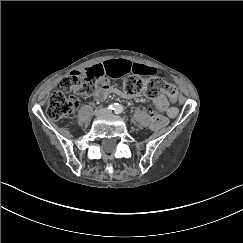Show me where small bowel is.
<instances>
[{
	"label": "small bowel",
	"mask_w": 243,
	"mask_h": 243,
	"mask_svg": "<svg viewBox=\"0 0 243 243\" xmlns=\"http://www.w3.org/2000/svg\"><path fill=\"white\" fill-rule=\"evenodd\" d=\"M86 73L95 75H108L113 78H119L129 73H135L138 75H154L156 73L155 68L146 66L139 63H133L129 60L118 59L107 61L102 64H97L90 67ZM110 93H115L120 96H126L121 90L113 87L100 88L95 93V99L103 101ZM173 99L160 97L155 100L156 107L165 112L169 117L174 118L178 114V108L171 105Z\"/></svg>",
	"instance_id": "obj_1"
}]
</instances>
